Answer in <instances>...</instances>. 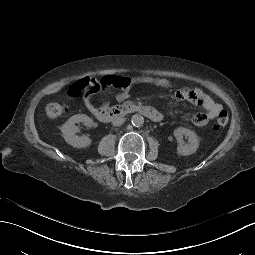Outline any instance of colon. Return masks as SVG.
<instances>
[{
	"label": "colon",
	"mask_w": 255,
	"mask_h": 255,
	"mask_svg": "<svg viewBox=\"0 0 255 255\" xmlns=\"http://www.w3.org/2000/svg\"><path fill=\"white\" fill-rule=\"evenodd\" d=\"M129 84V80L124 76H105L100 80L92 77H86L73 83L68 92L73 94H79L84 91L99 92L104 91L109 87L123 88ZM67 106L62 103L53 102L48 104L46 108L47 116L51 119H56L62 116L66 112ZM229 121L228 113L225 110H221L216 118L214 127L215 129L224 128Z\"/></svg>",
	"instance_id": "obj_1"
}]
</instances>
